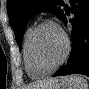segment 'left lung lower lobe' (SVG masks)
I'll return each mask as SVG.
<instances>
[{"mask_svg": "<svg viewBox=\"0 0 89 89\" xmlns=\"http://www.w3.org/2000/svg\"><path fill=\"white\" fill-rule=\"evenodd\" d=\"M70 4L72 5L70 12L74 14V18L69 20L72 24V50L67 64L53 76L70 74L89 76V0H70ZM61 20L67 23L65 14Z\"/></svg>", "mask_w": 89, "mask_h": 89, "instance_id": "left-lung-lower-lobe-1", "label": "left lung lower lobe"}]
</instances>
